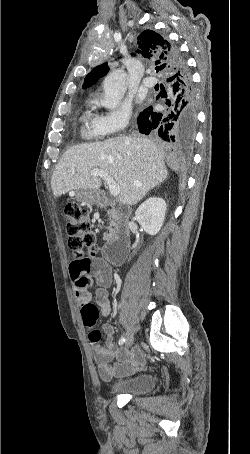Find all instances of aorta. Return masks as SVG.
Instances as JSON below:
<instances>
[{
    "label": "aorta",
    "mask_w": 250,
    "mask_h": 454,
    "mask_svg": "<svg viewBox=\"0 0 250 454\" xmlns=\"http://www.w3.org/2000/svg\"><path fill=\"white\" fill-rule=\"evenodd\" d=\"M104 96L101 103L108 109H115L123 99L126 92V73L117 69L109 73L103 83Z\"/></svg>",
    "instance_id": "obj_1"
}]
</instances>
